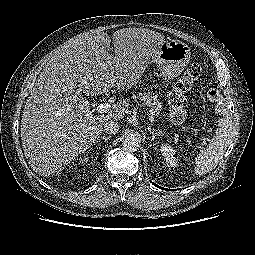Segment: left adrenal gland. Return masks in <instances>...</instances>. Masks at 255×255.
<instances>
[{
	"instance_id": "left-adrenal-gland-1",
	"label": "left adrenal gland",
	"mask_w": 255,
	"mask_h": 255,
	"mask_svg": "<svg viewBox=\"0 0 255 255\" xmlns=\"http://www.w3.org/2000/svg\"><path fill=\"white\" fill-rule=\"evenodd\" d=\"M148 131H149V132H150V134L152 135V139H151V140H154L156 136H158V135H160V134H161V132H160V131H158V132H154V131H152L150 127H148Z\"/></svg>"
}]
</instances>
